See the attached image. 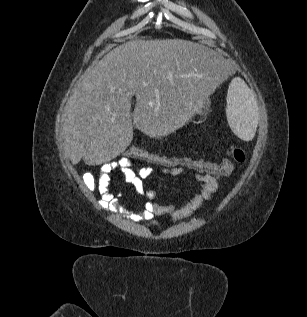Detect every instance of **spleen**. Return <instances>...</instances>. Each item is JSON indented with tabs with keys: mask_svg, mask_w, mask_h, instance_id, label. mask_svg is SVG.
<instances>
[{
	"mask_svg": "<svg viewBox=\"0 0 307 317\" xmlns=\"http://www.w3.org/2000/svg\"><path fill=\"white\" fill-rule=\"evenodd\" d=\"M227 119L236 136L244 141L253 139L258 124V108L252 91L234 79L227 97Z\"/></svg>",
	"mask_w": 307,
	"mask_h": 317,
	"instance_id": "obj_1",
	"label": "spleen"
}]
</instances>
